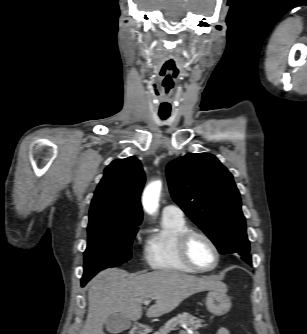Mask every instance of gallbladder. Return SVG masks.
<instances>
[{"instance_id":"1","label":"gallbladder","mask_w":307,"mask_h":334,"mask_svg":"<svg viewBox=\"0 0 307 334\" xmlns=\"http://www.w3.org/2000/svg\"><path fill=\"white\" fill-rule=\"evenodd\" d=\"M131 327V320L125 316L115 313L105 321V328L111 334H119Z\"/></svg>"}]
</instances>
